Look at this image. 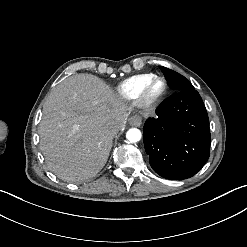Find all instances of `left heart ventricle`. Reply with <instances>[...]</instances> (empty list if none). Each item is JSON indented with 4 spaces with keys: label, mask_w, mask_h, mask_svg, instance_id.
<instances>
[{
    "label": "left heart ventricle",
    "mask_w": 247,
    "mask_h": 247,
    "mask_svg": "<svg viewBox=\"0 0 247 247\" xmlns=\"http://www.w3.org/2000/svg\"><path fill=\"white\" fill-rule=\"evenodd\" d=\"M163 89V83L162 82H156L150 89L149 95L154 96L158 94Z\"/></svg>",
    "instance_id": "b2bd125f"
}]
</instances>
